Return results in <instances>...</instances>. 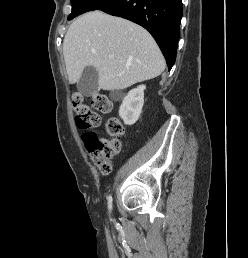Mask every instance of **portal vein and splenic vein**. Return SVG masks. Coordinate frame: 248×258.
Returning a JSON list of instances; mask_svg holds the SVG:
<instances>
[{"label":"portal vein and splenic vein","instance_id":"1","mask_svg":"<svg viewBox=\"0 0 248 258\" xmlns=\"http://www.w3.org/2000/svg\"><path fill=\"white\" fill-rule=\"evenodd\" d=\"M109 58H113V56H109Z\"/></svg>","mask_w":248,"mask_h":258}]
</instances>
